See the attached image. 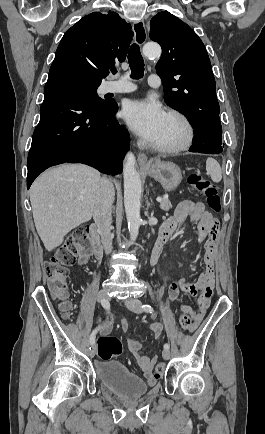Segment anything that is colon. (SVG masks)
<instances>
[{"label":"colon","mask_w":265,"mask_h":434,"mask_svg":"<svg viewBox=\"0 0 265 434\" xmlns=\"http://www.w3.org/2000/svg\"><path fill=\"white\" fill-rule=\"evenodd\" d=\"M188 181L191 188L206 198L208 206L213 211H221L219 192L211 181L199 174H192ZM75 254V242L70 239L66 240L55 249L50 261L44 266V276L54 297L64 299L68 295V269L75 262ZM183 313L184 310L179 318L180 326L183 330H190L194 319H185ZM97 351L100 359L107 362L113 356L122 354L123 345L117 336H101L97 342ZM158 363L154 371L156 379H159L164 370L165 360H160Z\"/></svg>","instance_id":"colon-1"}]
</instances>
